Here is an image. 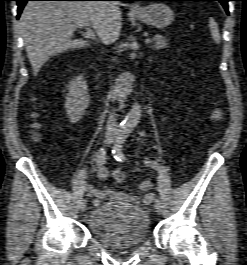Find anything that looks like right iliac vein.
<instances>
[{
  "mask_svg": "<svg viewBox=\"0 0 247 265\" xmlns=\"http://www.w3.org/2000/svg\"><path fill=\"white\" fill-rule=\"evenodd\" d=\"M79 209L81 212L86 210V200H82L79 204Z\"/></svg>",
  "mask_w": 247,
  "mask_h": 265,
  "instance_id": "obj_1",
  "label": "right iliac vein"
}]
</instances>
